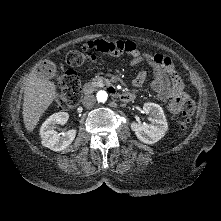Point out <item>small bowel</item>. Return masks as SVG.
Here are the masks:
<instances>
[{
    "label": "small bowel",
    "instance_id": "obj_1",
    "mask_svg": "<svg viewBox=\"0 0 221 221\" xmlns=\"http://www.w3.org/2000/svg\"><path fill=\"white\" fill-rule=\"evenodd\" d=\"M83 50L85 52L98 51L114 57L127 54L131 57L130 64L133 66L141 63L150 65L153 70L151 87L161 101L167 102V109L171 113H179L188 99L184 83L169 57L161 54L142 53L133 41L127 39H91L83 45ZM146 78V71L139 72L132 82L133 86L140 87Z\"/></svg>",
    "mask_w": 221,
    "mask_h": 221
}]
</instances>
